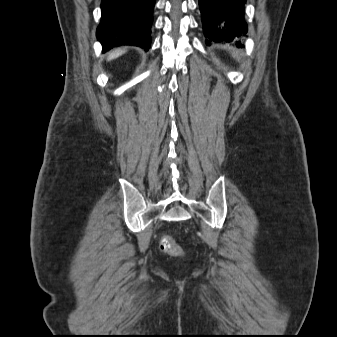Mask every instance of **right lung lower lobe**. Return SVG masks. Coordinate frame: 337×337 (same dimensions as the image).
<instances>
[{
    "label": "right lung lower lobe",
    "mask_w": 337,
    "mask_h": 337,
    "mask_svg": "<svg viewBox=\"0 0 337 337\" xmlns=\"http://www.w3.org/2000/svg\"><path fill=\"white\" fill-rule=\"evenodd\" d=\"M154 0H102L97 38L103 52L120 45L149 50Z\"/></svg>",
    "instance_id": "right-lung-lower-lobe-1"
}]
</instances>
